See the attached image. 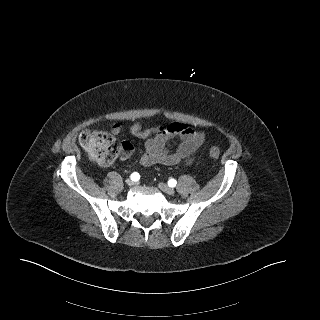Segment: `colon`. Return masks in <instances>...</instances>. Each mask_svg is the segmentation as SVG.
Here are the masks:
<instances>
[{
  "label": "colon",
  "mask_w": 320,
  "mask_h": 320,
  "mask_svg": "<svg viewBox=\"0 0 320 320\" xmlns=\"http://www.w3.org/2000/svg\"><path fill=\"white\" fill-rule=\"evenodd\" d=\"M79 140L90 156L102 166L113 162L121 151V146L116 138L106 131L86 130L80 134ZM209 155L218 159L220 149L217 146H211Z\"/></svg>",
  "instance_id": "1"
}]
</instances>
